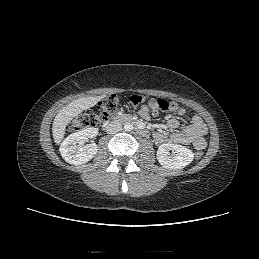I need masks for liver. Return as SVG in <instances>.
Masks as SVG:
<instances>
[{
  "mask_svg": "<svg viewBox=\"0 0 259 259\" xmlns=\"http://www.w3.org/2000/svg\"><path fill=\"white\" fill-rule=\"evenodd\" d=\"M104 97L105 96L102 95L79 98L63 107L55 116L52 124V134L55 143L60 144L64 138L66 127L73 118L77 117L84 110L96 105Z\"/></svg>",
  "mask_w": 259,
  "mask_h": 259,
  "instance_id": "6515ba94",
  "label": "liver"
}]
</instances>
